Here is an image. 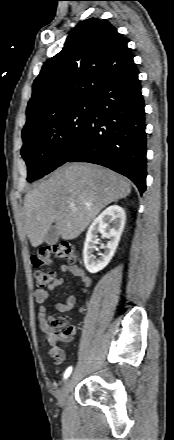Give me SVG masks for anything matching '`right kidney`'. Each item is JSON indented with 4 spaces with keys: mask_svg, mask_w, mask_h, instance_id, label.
<instances>
[{
    "mask_svg": "<svg viewBox=\"0 0 174 440\" xmlns=\"http://www.w3.org/2000/svg\"><path fill=\"white\" fill-rule=\"evenodd\" d=\"M126 214L122 207L112 205L106 208L90 225L83 249V259L86 269L90 273H97L104 269L115 254L121 234L124 229ZM112 223V227H109ZM101 233L103 237L110 239L107 245L102 244L101 248L105 252L99 259L93 255V250L98 242L97 234Z\"/></svg>",
    "mask_w": 174,
    "mask_h": 440,
    "instance_id": "obj_1",
    "label": "right kidney"
}]
</instances>
